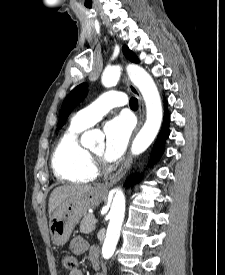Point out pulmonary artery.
I'll return each instance as SVG.
<instances>
[{"label":"pulmonary artery","mask_w":225,"mask_h":275,"mask_svg":"<svg viewBox=\"0 0 225 275\" xmlns=\"http://www.w3.org/2000/svg\"><path fill=\"white\" fill-rule=\"evenodd\" d=\"M127 99L123 93L108 91L94 100L89 106L78 111L72 123L82 127H89L100 120L110 109L126 105Z\"/></svg>","instance_id":"1"}]
</instances>
